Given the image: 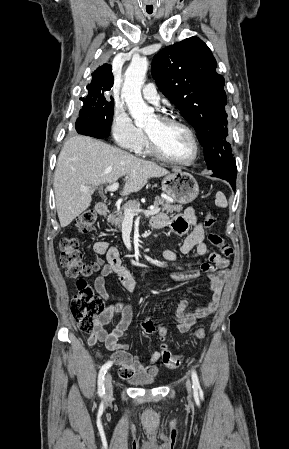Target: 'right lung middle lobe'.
Wrapping results in <instances>:
<instances>
[{
	"label": "right lung middle lobe",
	"instance_id": "1",
	"mask_svg": "<svg viewBox=\"0 0 289 449\" xmlns=\"http://www.w3.org/2000/svg\"><path fill=\"white\" fill-rule=\"evenodd\" d=\"M83 102L76 130L79 134L105 138L110 135L113 120L114 100L104 94L81 98Z\"/></svg>",
	"mask_w": 289,
	"mask_h": 449
}]
</instances>
